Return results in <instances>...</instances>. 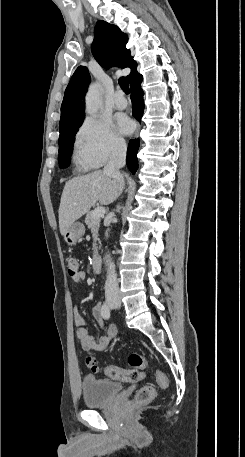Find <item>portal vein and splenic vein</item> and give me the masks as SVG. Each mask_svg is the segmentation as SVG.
I'll use <instances>...</instances> for the list:
<instances>
[{"instance_id":"obj_1","label":"portal vein and splenic vein","mask_w":245,"mask_h":457,"mask_svg":"<svg viewBox=\"0 0 245 457\" xmlns=\"http://www.w3.org/2000/svg\"><path fill=\"white\" fill-rule=\"evenodd\" d=\"M103 214H105V206H97V208L93 210L92 216H94V218H100Z\"/></svg>"}]
</instances>
